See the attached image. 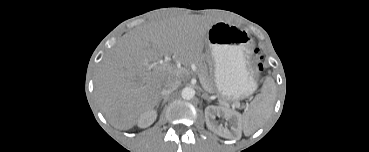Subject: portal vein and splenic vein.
Listing matches in <instances>:
<instances>
[{
  "instance_id": "18ae733b",
  "label": "portal vein and splenic vein",
  "mask_w": 369,
  "mask_h": 152,
  "mask_svg": "<svg viewBox=\"0 0 369 152\" xmlns=\"http://www.w3.org/2000/svg\"><path fill=\"white\" fill-rule=\"evenodd\" d=\"M171 58L169 56H165V61H170Z\"/></svg>"
}]
</instances>
